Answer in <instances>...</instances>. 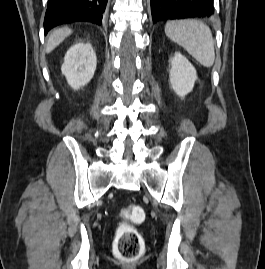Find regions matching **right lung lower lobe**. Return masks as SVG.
Listing matches in <instances>:
<instances>
[{
    "label": "right lung lower lobe",
    "mask_w": 265,
    "mask_h": 269,
    "mask_svg": "<svg viewBox=\"0 0 265 269\" xmlns=\"http://www.w3.org/2000/svg\"><path fill=\"white\" fill-rule=\"evenodd\" d=\"M108 0H48L44 19L45 34L53 27L75 21L101 24Z\"/></svg>",
    "instance_id": "1"
}]
</instances>
